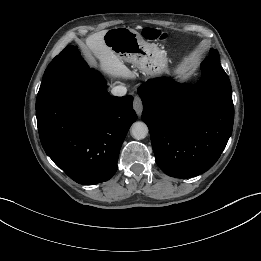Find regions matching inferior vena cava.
<instances>
[{
  "label": "inferior vena cava",
  "instance_id": "inferior-vena-cava-1",
  "mask_svg": "<svg viewBox=\"0 0 261 261\" xmlns=\"http://www.w3.org/2000/svg\"><path fill=\"white\" fill-rule=\"evenodd\" d=\"M127 92V89L123 86H115L112 88L111 93L114 96H124Z\"/></svg>",
  "mask_w": 261,
  "mask_h": 261
}]
</instances>
